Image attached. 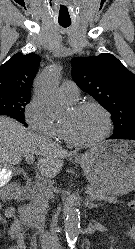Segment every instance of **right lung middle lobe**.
I'll list each match as a JSON object with an SVG mask.
<instances>
[{"label": "right lung middle lobe", "mask_w": 135, "mask_h": 249, "mask_svg": "<svg viewBox=\"0 0 135 249\" xmlns=\"http://www.w3.org/2000/svg\"><path fill=\"white\" fill-rule=\"evenodd\" d=\"M30 99L29 94L0 92V115L11 116L27 125L24 120V110Z\"/></svg>", "instance_id": "dd1d6c3e"}]
</instances>
